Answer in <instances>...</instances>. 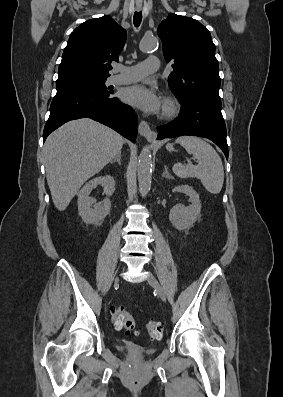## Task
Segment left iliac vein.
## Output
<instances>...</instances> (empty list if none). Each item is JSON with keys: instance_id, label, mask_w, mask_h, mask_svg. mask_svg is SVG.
Wrapping results in <instances>:
<instances>
[{"instance_id": "1", "label": "left iliac vein", "mask_w": 283, "mask_h": 397, "mask_svg": "<svg viewBox=\"0 0 283 397\" xmlns=\"http://www.w3.org/2000/svg\"><path fill=\"white\" fill-rule=\"evenodd\" d=\"M147 281L156 290V292L158 293V296L161 298V300L165 302L166 294H165L164 290L162 289V287L160 286L157 279L151 273H148Z\"/></svg>"}]
</instances>
